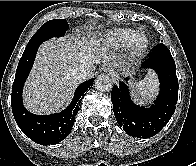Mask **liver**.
<instances>
[{
	"instance_id": "6515ba94",
	"label": "liver",
	"mask_w": 196,
	"mask_h": 166,
	"mask_svg": "<svg viewBox=\"0 0 196 166\" xmlns=\"http://www.w3.org/2000/svg\"><path fill=\"white\" fill-rule=\"evenodd\" d=\"M113 40L110 35L89 40L69 35L43 42L23 91L25 107L35 114L55 112L82 81L74 76L76 68H89L91 77L97 64L117 66L111 51Z\"/></svg>"
}]
</instances>
